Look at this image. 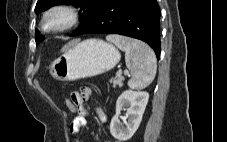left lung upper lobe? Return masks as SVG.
Listing matches in <instances>:
<instances>
[{
    "label": "left lung upper lobe",
    "instance_id": "obj_1",
    "mask_svg": "<svg viewBox=\"0 0 227 142\" xmlns=\"http://www.w3.org/2000/svg\"><path fill=\"white\" fill-rule=\"evenodd\" d=\"M106 1L107 0H38L35 7V12L38 13L42 10H45L49 7H52L58 4H76L81 8L79 11L81 22L79 27L75 30L76 32L78 29L83 27L92 19V17L97 12V10ZM43 39L44 37L39 35V33L36 31V34H35L36 44L40 43Z\"/></svg>",
    "mask_w": 227,
    "mask_h": 142
}]
</instances>
